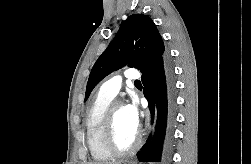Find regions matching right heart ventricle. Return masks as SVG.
I'll return each mask as SVG.
<instances>
[{
  "mask_svg": "<svg viewBox=\"0 0 251 164\" xmlns=\"http://www.w3.org/2000/svg\"><path fill=\"white\" fill-rule=\"evenodd\" d=\"M112 99V97L99 93L87 111L86 139L90 154L96 161H105L113 156L105 146L103 136L105 117Z\"/></svg>",
  "mask_w": 251,
  "mask_h": 164,
  "instance_id": "right-heart-ventricle-1",
  "label": "right heart ventricle"
}]
</instances>
